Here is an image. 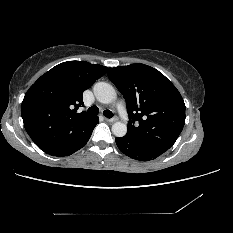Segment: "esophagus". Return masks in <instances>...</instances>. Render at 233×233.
<instances>
[{"label":"esophagus","instance_id":"esophagus-1","mask_svg":"<svg viewBox=\"0 0 233 233\" xmlns=\"http://www.w3.org/2000/svg\"><path fill=\"white\" fill-rule=\"evenodd\" d=\"M105 121L112 123V122L117 121V117H113V118H105Z\"/></svg>","mask_w":233,"mask_h":233}]
</instances>
